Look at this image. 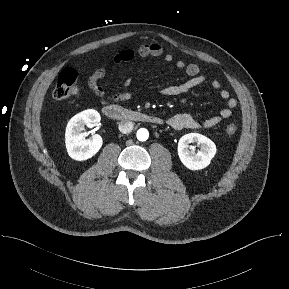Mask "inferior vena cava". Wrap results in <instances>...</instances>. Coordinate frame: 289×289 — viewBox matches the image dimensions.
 Segmentation results:
<instances>
[{
  "label": "inferior vena cava",
  "instance_id": "inferior-vena-cava-1",
  "mask_svg": "<svg viewBox=\"0 0 289 289\" xmlns=\"http://www.w3.org/2000/svg\"><path fill=\"white\" fill-rule=\"evenodd\" d=\"M134 124L130 121H122L119 123V131L121 133H130L133 130Z\"/></svg>",
  "mask_w": 289,
  "mask_h": 289
}]
</instances>
